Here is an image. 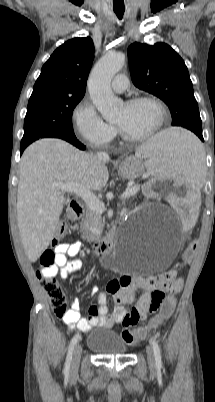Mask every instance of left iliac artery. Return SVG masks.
Segmentation results:
<instances>
[{
    "label": "left iliac artery",
    "mask_w": 215,
    "mask_h": 402,
    "mask_svg": "<svg viewBox=\"0 0 215 402\" xmlns=\"http://www.w3.org/2000/svg\"><path fill=\"white\" fill-rule=\"evenodd\" d=\"M150 343L153 347L156 366H157V368H161L162 367V359H161L160 347L155 339H151Z\"/></svg>",
    "instance_id": "left-iliac-artery-1"
}]
</instances>
